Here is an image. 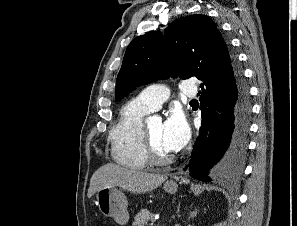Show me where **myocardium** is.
Segmentation results:
<instances>
[{"mask_svg":"<svg viewBox=\"0 0 297 226\" xmlns=\"http://www.w3.org/2000/svg\"><path fill=\"white\" fill-rule=\"evenodd\" d=\"M141 138L143 142L144 151L149 162H151L154 165H167L173 162L175 158L174 155H162L155 148L151 140L147 124L144 123L141 129Z\"/></svg>","mask_w":297,"mask_h":226,"instance_id":"f54148a6","label":"myocardium"}]
</instances>
